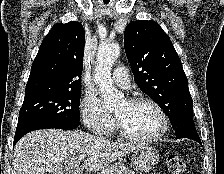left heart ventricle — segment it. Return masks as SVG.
<instances>
[{
  "label": "left heart ventricle",
  "instance_id": "obj_1",
  "mask_svg": "<svg viewBox=\"0 0 224 174\" xmlns=\"http://www.w3.org/2000/svg\"><path fill=\"white\" fill-rule=\"evenodd\" d=\"M114 114L127 131L139 136L154 135L162 125L156 109L147 103L132 106L125 101L118 106Z\"/></svg>",
  "mask_w": 224,
  "mask_h": 174
}]
</instances>
